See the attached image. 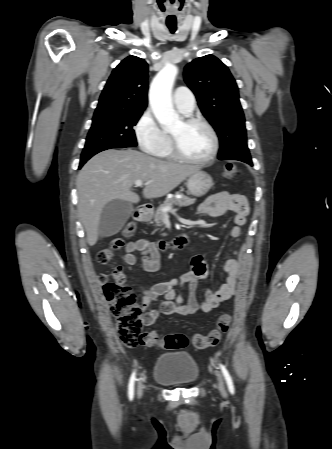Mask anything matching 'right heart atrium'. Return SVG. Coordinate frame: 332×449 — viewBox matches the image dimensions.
<instances>
[{"label": "right heart atrium", "instance_id": "right-heart-atrium-1", "mask_svg": "<svg viewBox=\"0 0 332 449\" xmlns=\"http://www.w3.org/2000/svg\"><path fill=\"white\" fill-rule=\"evenodd\" d=\"M135 134L141 149L152 155H157L168 140L166 133L159 127L150 110L144 111L138 119Z\"/></svg>", "mask_w": 332, "mask_h": 449}]
</instances>
